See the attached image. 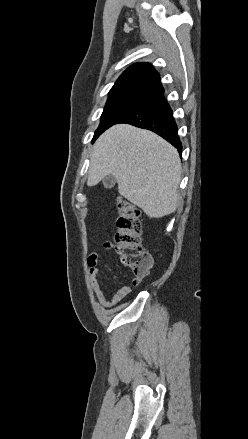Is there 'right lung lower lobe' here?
Listing matches in <instances>:
<instances>
[{
  "label": "right lung lower lobe",
  "instance_id": "98d812e1",
  "mask_svg": "<svg viewBox=\"0 0 248 439\" xmlns=\"http://www.w3.org/2000/svg\"><path fill=\"white\" fill-rule=\"evenodd\" d=\"M117 123H127L151 130L171 143L181 153L182 144L178 136L177 125L163 93L152 98Z\"/></svg>",
  "mask_w": 248,
  "mask_h": 439
}]
</instances>
